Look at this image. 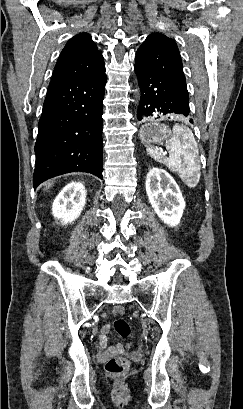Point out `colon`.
<instances>
[{"mask_svg":"<svg viewBox=\"0 0 243 409\" xmlns=\"http://www.w3.org/2000/svg\"><path fill=\"white\" fill-rule=\"evenodd\" d=\"M113 314L117 317L113 323L117 334L123 338L129 337L130 326L127 320L123 317L125 314V308L123 306H116L113 309ZM105 369L112 375L120 376L126 373L129 369V361L124 357L114 356L108 359L105 364Z\"/></svg>","mask_w":243,"mask_h":409,"instance_id":"5ec220e1","label":"colon"}]
</instances>
